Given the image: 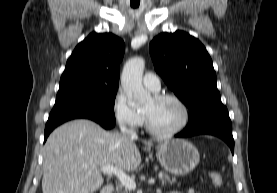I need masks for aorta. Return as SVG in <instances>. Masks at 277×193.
<instances>
[{"label":"aorta","mask_w":277,"mask_h":193,"mask_svg":"<svg viewBox=\"0 0 277 193\" xmlns=\"http://www.w3.org/2000/svg\"><path fill=\"white\" fill-rule=\"evenodd\" d=\"M145 61L141 57L129 59L121 74V85L128 97L129 104L139 106L151 99V94L142 85Z\"/></svg>","instance_id":"aorta-1"}]
</instances>
